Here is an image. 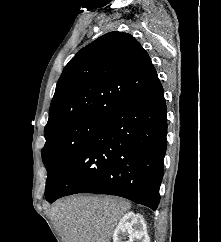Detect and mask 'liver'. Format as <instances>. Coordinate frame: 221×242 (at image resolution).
<instances>
[{
  "label": "liver",
  "instance_id": "liver-1",
  "mask_svg": "<svg viewBox=\"0 0 221 242\" xmlns=\"http://www.w3.org/2000/svg\"><path fill=\"white\" fill-rule=\"evenodd\" d=\"M130 208L118 197L73 196L58 200L50 218L62 242H110L117 222Z\"/></svg>",
  "mask_w": 221,
  "mask_h": 242
}]
</instances>
